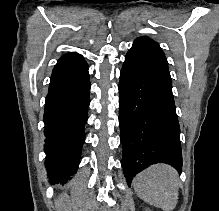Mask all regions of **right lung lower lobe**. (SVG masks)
<instances>
[{
	"instance_id": "obj_1",
	"label": "right lung lower lobe",
	"mask_w": 219,
	"mask_h": 211,
	"mask_svg": "<svg viewBox=\"0 0 219 211\" xmlns=\"http://www.w3.org/2000/svg\"><path fill=\"white\" fill-rule=\"evenodd\" d=\"M89 92L85 60L61 57L52 72L44 113L46 168L52 184H65L80 163Z\"/></svg>"
}]
</instances>
